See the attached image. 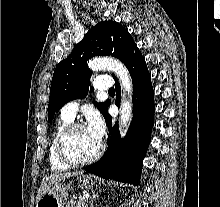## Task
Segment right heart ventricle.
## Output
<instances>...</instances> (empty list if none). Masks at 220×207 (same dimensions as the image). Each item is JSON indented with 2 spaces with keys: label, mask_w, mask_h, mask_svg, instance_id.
<instances>
[{
  "label": "right heart ventricle",
  "mask_w": 220,
  "mask_h": 207,
  "mask_svg": "<svg viewBox=\"0 0 220 207\" xmlns=\"http://www.w3.org/2000/svg\"><path fill=\"white\" fill-rule=\"evenodd\" d=\"M71 121H72L71 119H68L61 115L59 121L57 122V125L55 127V130H54L51 142H50L48 159H49V164L51 168L55 171L67 170L68 168H70L68 165L61 162L60 159L58 158L57 152H56V141L61 131L69 123H71Z\"/></svg>",
  "instance_id": "e07e8e85"
}]
</instances>
